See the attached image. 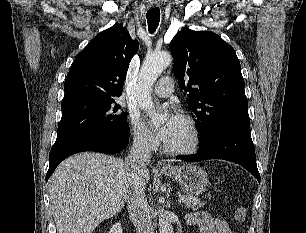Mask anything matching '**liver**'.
<instances>
[{"label": "liver", "instance_id": "obj_1", "mask_svg": "<svg viewBox=\"0 0 306 233\" xmlns=\"http://www.w3.org/2000/svg\"><path fill=\"white\" fill-rule=\"evenodd\" d=\"M150 172L144 169V185ZM127 160L86 152L64 160L48 181L58 233H92L123 208L132 187Z\"/></svg>", "mask_w": 306, "mask_h": 233}]
</instances>
